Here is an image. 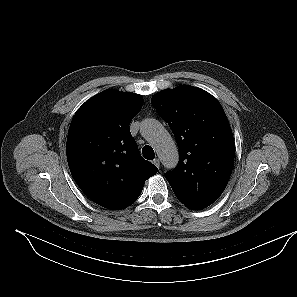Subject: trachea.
Wrapping results in <instances>:
<instances>
[{
  "label": "trachea",
  "instance_id": "obj_1",
  "mask_svg": "<svg viewBox=\"0 0 297 297\" xmlns=\"http://www.w3.org/2000/svg\"><path fill=\"white\" fill-rule=\"evenodd\" d=\"M143 157L148 160H152L155 158V153L152 147L146 145L142 149Z\"/></svg>",
  "mask_w": 297,
  "mask_h": 297
}]
</instances>
